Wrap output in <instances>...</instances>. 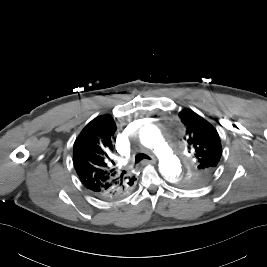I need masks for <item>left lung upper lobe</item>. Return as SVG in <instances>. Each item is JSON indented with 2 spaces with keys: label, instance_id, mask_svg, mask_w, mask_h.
Segmentation results:
<instances>
[{
  "label": "left lung upper lobe",
  "instance_id": "left-lung-upper-lobe-1",
  "mask_svg": "<svg viewBox=\"0 0 267 267\" xmlns=\"http://www.w3.org/2000/svg\"><path fill=\"white\" fill-rule=\"evenodd\" d=\"M179 116L186 127L184 139L194 154L193 164L180 185L197 188L206 184L214 175L221 158L222 148L216 129L191 109H184Z\"/></svg>",
  "mask_w": 267,
  "mask_h": 267
}]
</instances>
